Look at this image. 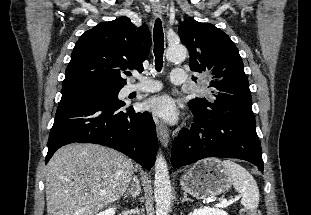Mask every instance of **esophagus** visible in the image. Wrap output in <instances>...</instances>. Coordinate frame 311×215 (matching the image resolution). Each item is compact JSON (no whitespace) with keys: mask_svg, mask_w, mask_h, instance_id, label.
<instances>
[{"mask_svg":"<svg viewBox=\"0 0 311 215\" xmlns=\"http://www.w3.org/2000/svg\"><path fill=\"white\" fill-rule=\"evenodd\" d=\"M152 10L155 16H160L162 14V8L159 5L153 6ZM154 121L156 124V131L158 138L162 146L167 147L169 143V129L158 118H155Z\"/></svg>","mask_w":311,"mask_h":215,"instance_id":"1","label":"esophagus"}]
</instances>
